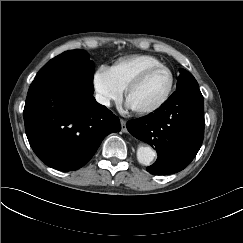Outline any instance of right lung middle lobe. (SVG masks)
<instances>
[{"label": "right lung middle lobe", "instance_id": "obj_1", "mask_svg": "<svg viewBox=\"0 0 243 243\" xmlns=\"http://www.w3.org/2000/svg\"><path fill=\"white\" fill-rule=\"evenodd\" d=\"M94 63L83 50H70L50 60L35 79H56L93 85Z\"/></svg>", "mask_w": 243, "mask_h": 243}]
</instances>
